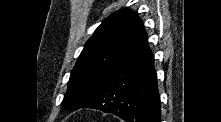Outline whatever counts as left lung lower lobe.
Wrapping results in <instances>:
<instances>
[{
	"instance_id": "1",
	"label": "left lung lower lobe",
	"mask_w": 221,
	"mask_h": 122,
	"mask_svg": "<svg viewBox=\"0 0 221 122\" xmlns=\"http://www.w3.org/2000/svg\"><path fill=\"white\" fill-rule=\"evenodd\" d=\"M82 108L113 113L127 122H160L154 58L141 19L138 18L120 59Z\"/></svg>"
}]
</instances>
